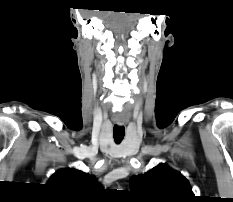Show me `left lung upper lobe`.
<instances>
[{
	"mask_svg": "<svg viewBox=\"0 0 233 202\" xmlns=\"http://www.w3.org/2000/svg\"><path fill=\"white\" fill-rule=\"evenodd\" d=\"M130 188L145 202H191L195 198L187 179L167 164L132 176Z\"/></svg>",
	"mask_w": 233,
	"mask_h": 202,
	"instance_id": "left-lung-upper-lobe-1",
	"label": "left lung upper lobe"
}]
</instances>
